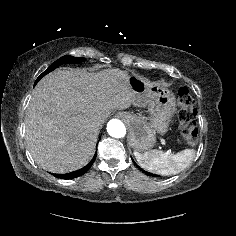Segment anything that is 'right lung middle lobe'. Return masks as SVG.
I'll use <instances>...</instances> for the list:
<instances>
[{"instance_id":"dd1d6c3e","label":"right lung middle lobe","mask_w":236,"mask_h":236,"mask_svg":"<svg viewBox=\"0 0 236 236\" xmlns=\"http://www.w3.org/2000/svg\"><path fill=\"white\" fill-rule=\"evenodd\" d=\"M85 58L82 57H72L70 55H66L55 61L47 70H45L36 80L35 84L38 83V81L44 77L49 72L55 70L57 67H59L62 64H69V63H80L83 62Z\"/></svg>"}]
</instances>
